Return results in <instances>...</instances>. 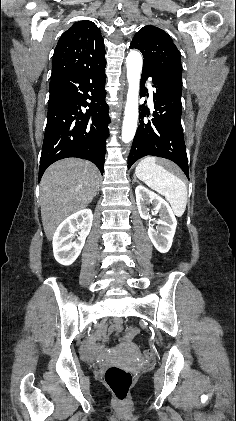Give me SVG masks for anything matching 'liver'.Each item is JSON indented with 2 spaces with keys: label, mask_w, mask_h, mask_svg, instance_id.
Masks as SVG:
<instances>
[{
  "label": "liver",
  "mask_w": 236,
  "mask_h": 421,
  "mask_svg": "<svg viewBox=\"0 0 236 421\" xmlns=\"http://www.w3.org/2000/svg\"><path fill=\"white\" fill-rule=\"evenodd\" d=\"M93 162L82 158H62L45 170L40 182L41 217L44 233L52 241L57 227L88 206L99 184Z\"/></svg>",
  "instance_id": "1"
}]
</instances>
